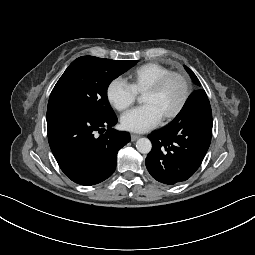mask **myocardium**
<instances>
[{
	"instance_id": "f54148a6",
	"label": "myocardium",
	"mask_w": 255,
	"mask_h": 255,
	"mask_svg": "<svg viewBox=\"0 0 255 255\" xmlns=\"http://www.w3.org/2000/svg\"><path fill=\"white\" fill-rule=\"evenodd\" d=\"M172 77H178L182 81L184 92H183L182 99L180 103L177 105V107L173 111L163 116V118L166 120L175 118L183 110L184 106L186 105L188 98L190 96V82L188 77L184 73L171 71L163 75L162 77H160L155 83H153L144 92V93H156L160 91L163 88V86L167 83V81L170 80Z\"/></svg>"
}]
</instances>
